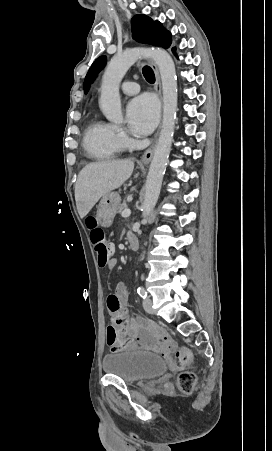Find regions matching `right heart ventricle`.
Wrapping results in <instances>:
<instances>
[{
  "mask_svg": "<svg viewBox=\"0 0 272 451\" xmlns=\"http://www.w3.org/2000/svg\"><path fill=\"white\" fill-rule=\"evenodd\" d=\"M85 147L94 158L107 159L116 153L118 141L109 125L95 122L86 132Z\"/></svg>",
  "mask_w": 272,
  "mask_h": 451,
  "instance_id": "e07e8e85",
  "label": "right heart ventricle"
}]
</instances>
